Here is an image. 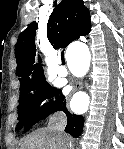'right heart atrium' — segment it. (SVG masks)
<instances>
[{"label": "right heart atrium", "instance_id": "obj_1", "mask_svg": "<svg viewBox=\"0 0 124 149\" xmlns=\"http://www.w3.org/2000/svg\"><path fill=\"white\" fill-rule=\"evenodd\" d=\"M47 108H48V104H47V103H43V104L41 105V111H42V112H45V111L47 110Z\"/></svg>", "mask_w": 124, "mask_h": 149}]
</instances>
